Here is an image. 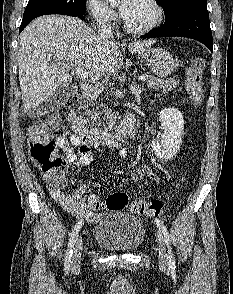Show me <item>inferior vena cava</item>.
Segmentation results:
<instances>
[{
	"label": "inferior vena cava",
	"mask_w": 233,
	"mask_h": 294,
	"mask_svg": "<svg viewBox=\"0 0 233 294\" xmlns=\"http://www.w3.org/2000/svg\"><path fill=\"white\" fill-rule=\"evenodd\" d=\"M98 22V32L100 37L103 39H111L113 37V32L111 30L110 25L107 23V19L104 15H100L97 18Z\"/></svg>",
	"instance_id": "1"
}]
</instances>
